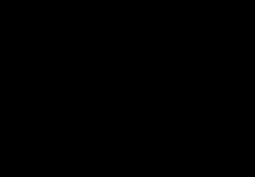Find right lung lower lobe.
I'll list each match as a JSON object with an SVG mask.
<instances>
[{
  "mask_svg": "<svg viewBox=\"0 0 255 177\" xmlns=\"http://www.w3.org/2000/svg\"><path fill=\"white\" fill-rule=\"evenodd\" d=\"M106 103L94 102L91 104L73 105L60 110L54 116L59 129L75 139L89 143L95 138L94 126L107 114Z\"/></svg>",
  "mask_w": 255,
  "mask_h": 177,
  "instance_id": "98d812e1",
  "label": "right lung lower lobe"
}]
</instances>
